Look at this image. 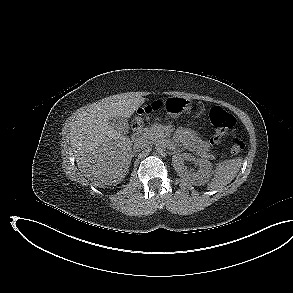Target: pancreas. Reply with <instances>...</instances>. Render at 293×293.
<instances>
[{
	"instance_id": "pancreas-1",
	"label": "pancreas",
	"mask_w": 293,
	"mask_h": 293,
	"mask_svg": "<svg viewBox=\"0 0 293 293\" xmlns=\"http://www.w3.org/2000/svg\"><path fill=\"white\" fill-rule=\"evenodd\" d=\"M164 132H165V128L163 125L161 124H155L152 125L149 128H145L144 129V133H143V137L145 139L148 140H156L159 138H163L164 137ZM203 155L207 158H215L213 155L207 154V153H203Z\"/></svg>"
}]
</instances>
